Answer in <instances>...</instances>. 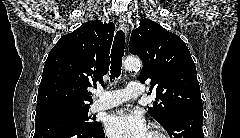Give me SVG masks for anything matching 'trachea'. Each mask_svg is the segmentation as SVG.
Segmentation results:
<instances>
[{
  "label": "trachea",
  "mask_w": 240,
  "mask_h": 138,
  "mask_svg": "<svg viewBox=\"0 0 240 138\" xmlns=\"http://www.w3.org/2000/svg\"><path fill=\"white\" fill-rule=\"evenodd\" d=\"M125 49V33L122 30L117 31L112 50H111V66H110V81L118 78L121 74L122 58Z\"/></svg>",
  "instance_id": "1"
}]
</instances>
